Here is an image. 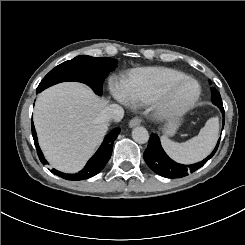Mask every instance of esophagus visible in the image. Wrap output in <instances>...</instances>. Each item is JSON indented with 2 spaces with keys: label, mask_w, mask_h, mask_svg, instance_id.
<instances>
[{
  "label": "esophagus",
  "mask_w": 245,
  "mask_h": 245,
  "mask_svg": "<svg viewBox=\"0 0 245 245\" xmlns=\"http://www.w3.org/2000/svg\"><path fill=\"white\" fill-rule=\"evenodd\" d=\"M142 120L139 117H134L129 121V127L133 128L136 126H139L141 124Z\"/></svg>",
  "instance_id": "esophagus-1"
}]
</instances>
